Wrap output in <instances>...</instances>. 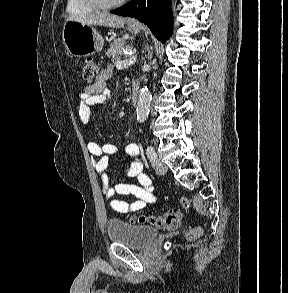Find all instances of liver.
Segmentation results:
<instances>
[{"label": "liver", "mask_w": 288, "mask_h": 293, "mask_svg": "<svg viewBox=\"0 0 288 293\" xmlns=\"http://www.w3.org/2000/svg\"><path fill=\"white\" fill-rule=\"evenodd\" d=\"M66 21H79L87 25H99L112 28L122 27L126 19L108 12H97L89 14H72Z\"/></svg>", "instance_id": "liver-1"}]
</instances>
